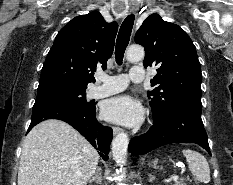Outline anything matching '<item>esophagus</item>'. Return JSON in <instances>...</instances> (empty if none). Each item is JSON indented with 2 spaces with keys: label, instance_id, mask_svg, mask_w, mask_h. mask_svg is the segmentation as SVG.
Segmentation results:
<instances>
[{
  "label": "esophagus",
  "instance_id": "34e87169",
  "mask_svg": "<svg viewBox=\"0 0 233 185\" xmlns=\"http://www.w3.org/2000/svg\"><path fill=\"white\" fill-rule=\"evenodd\" d=\"M136 10H137V5L135 3H130V11L132 13H135ZM121 132H122L121 128H119V127H114L113 128V134L114 135H117V134H119Z\"/></svg>",
  "mask_w": 233,
  "mask_h": 185
}]
</instances>
